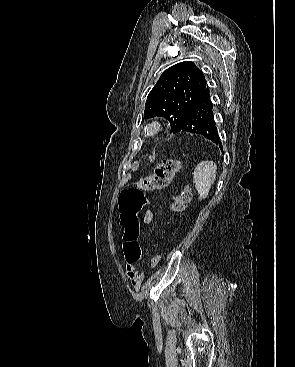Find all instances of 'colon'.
Returning a JSON list of instances; mask_svg holds the SVG:
<instances>
[{
	"label": "colon",
	"instance_id": "5ec220e1",
	"mask_svg": "<svg viewBox=\"0 0 295 367\" xmlns=\"http://www.w3.org/2000/svg\"><path fill=\"white\" fill-rule=\"evenodd\" d=\"M181 163L175 159L163 160L151 175L141 177L134 186L125 189L119 197L120 224L123 227V251L129 262H136L141 254L138 244L139 220L141 206H152L156 202L144 194V191L165 189L176 173L181 171ZM192 197L188 187L181 189L173 198L170 210L173 214L182 212ZM160 262L159 256L151 260L152 267Z\"/></svg>",
	"mask_w": 295,
	"mask_h": 367
}]
</instances>
